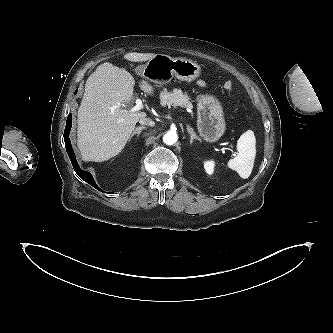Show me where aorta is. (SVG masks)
<instances>
[{"label": "aorta", "instance_id": "762f6f07", "mask_svg": "<svg viewBox=\"0 0 333 333\" xmlns=\"http://www.w3.org/2000/svg\"><path fill=\"white\" fill-rule=\"evenodd\" d=\"M178 140V135L174 131H168L164 137H163V142L167 145H173L176 143Z\"/></svg>", "mask_w": 333, "mask_h": 333}]
</instances>
